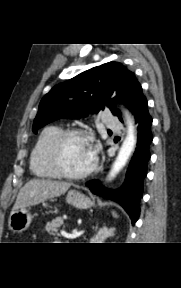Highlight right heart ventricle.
<instances>
[{
    "instance_id": "obj_1",
    "label": "right heart ventricle",
    "mask_w": 181,
    "mask_h": 288,
    "mask_svg": "<svg viewBox=\"0 0 181 288\" xmlns=\"http://www.w3.org/2000/svg\"><path fill=\"white\" fill-rule=\"evenodd\" d=\"M60 132L57 126H48L40 133L30 155V170L41 179H56L60 175L52 168L49 161V148Z\"/></svg>"
}]
</instances>
